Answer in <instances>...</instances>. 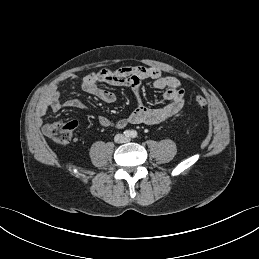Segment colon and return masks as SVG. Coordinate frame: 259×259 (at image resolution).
Returning a JSON list of instances; mask_svg holds the SVG:
<instances>
[{
    "label": "colon",
    "instance_id": "obj_1",
    "mask_svg": "<svg viewBox=\"0 0 259 259\" xmlns=\"http://www.w3.org/2000/svg\"><path fill=\"white\" fill-rule=\"evenodd\" d=\"M195 102L200 108H205L206 106V100L202 96L196 97ZM77 127V121L53 122L45 126L44 132L55 141L62 144H68L73 140Z\"/></svg>",
    "mask_w": 259,
    "mask_h": 259
}]
</instances>
